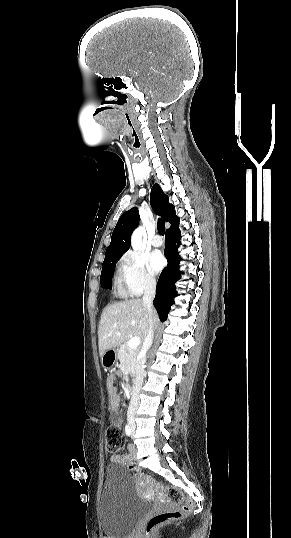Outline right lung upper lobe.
<instances>
[{
  "mask_svg": "<svg viewBox=\"0 0 291 538\" xmlns=\"http://www.w3.org/2000/svg\"><path fill=\"white\" fill-rule=\"evenodd\" d=\"M152 192L151 205L153 210L171 224L170 228L177 226L179 218L175 214L174 206L169 203V197L164 194L158 184L153 185ZM139 219V211L136 207L122 214L113 231L104 262L120 258L130 248L131 234L138 225Z\"/></svg>",
  "mask_w": 291,
  "mask_h": 538,
  "instance_id": "1",
  "label": "right lung upper lobe"
}]
</instances>
